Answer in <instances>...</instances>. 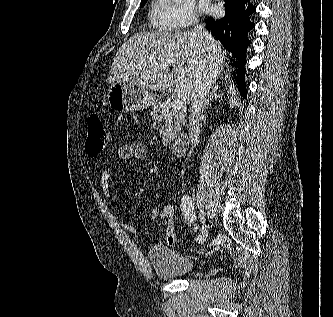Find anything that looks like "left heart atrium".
Masks as SVG:
<instances>
[{
  "instance_id": "39dd6f15",
  "label": "left heart atrium",
  "mask_w": 333,
  "mask_h": 317,
  "mask_svg": "<svg viewBox=\"0 0 333 317\" xmlns=\"http://www.w3.org/2000/svg\"><path fill=\"white\" fill-rule=\"evenodd\" d=\"M199 7H200V9L203 10V11L208 10V5H207V3H206L205 1H203V0L200 2Z\"/></svg>"
}]
</instances>
